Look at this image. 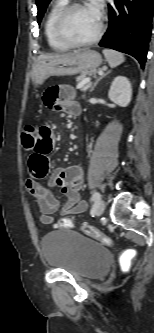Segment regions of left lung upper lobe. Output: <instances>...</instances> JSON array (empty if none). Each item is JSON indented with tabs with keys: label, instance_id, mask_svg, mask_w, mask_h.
Listing matches in <instances>:
<instances>
[{
	"label": "left lung upper lobe",
	"instance_id": "1",
	"mask_svg": "<svg viewBox=\"0 0 154 333\" xmlns=\"http://www.w3.org/2000/svg\"><path fill=\"white\" fill-rule=\"evenodd\" d=\"M51 0H36V5L38 8V24H40V21L46 11V8Z\"/></svg>",
	"mask_w": 154,
	"mask_h": 333
}]
</instances>
